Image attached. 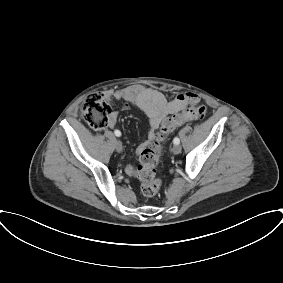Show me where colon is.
Here are the masks:
<instances>
[{
    "label": "colon",
    "mask_w": 283,
    "mask_h": 283,
    "mask_svg": "<svg viewBox=\"0 0 283 283\" xmlns=\"http://www.w3.org/2000/svg\"><path fill=\"white\" fill-rule=\"evenodd\" d=\"M206 113L207 108L202 103H190L184 111L168 117L163 122L155 141L149 147L142 150L136 173L140 183L141 193L145 197L155 196L161 187V180L157 176L156 169L160 161L162 140L183 123L189 120L202 119ZM111 114V106L100 94L94 93L88 95L81 104V118L95 130H101L107 127Z\"/></svg>",
    "instance_id": "obj_1"
}]
</instances>
